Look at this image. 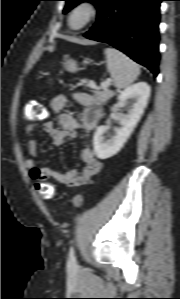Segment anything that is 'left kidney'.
Here are the masks:
<instances>
[{"mask_svg": "<svg viewBox=\"0 0 180 299\" xmlns=\"http://www.w3.org/2000/svg\"><path fill=\"white\" fill-rule=\"evenodd\" d=\"M149 96L150 86L145 82L136 83L120 93L118 103L112 107L111 111L114 113L128 105L129 110L126 115L119 119L121 127L115 129V135L109 140H105L103 137L108 126H99L97 128L93 144L95 154L99 159L110 158L123 147L143 115Z\"/></svg>", "mask_w": 180, "mask_h": 299, "instance_id": "5707ae66", "label": "left kidney"}]
</instances>
